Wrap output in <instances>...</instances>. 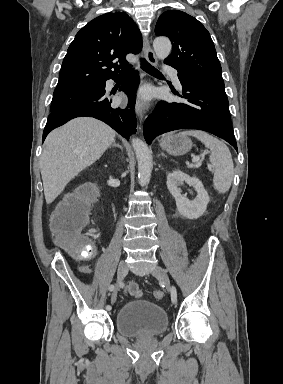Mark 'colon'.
<instances>
[{"mask_svg":"<svg viewBox=\"0 0 283 384\" xmlns=\"http://www.w3.org/2000/svg\"><path fill=\"white\" fill-rule=\"evenodd\" d=\"M92 194L88 189H81L68 195L55 209L51 216V228L60 242L76 258L90 259L95 254L91 241L82 233L88 223ZM131 295L139 296L137 286L128 287ZM153 297L162 299L161 290H155Z\"/></svg>","mask_w":283,"mask_h":384,"instance_id":"obj_1","label":"colon"}]
</instances>
